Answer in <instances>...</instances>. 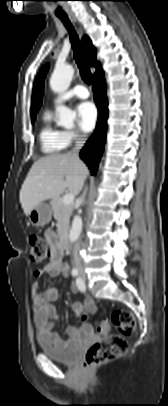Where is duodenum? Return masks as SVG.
<instances>
[{
    "label": "duodenum",
    "instance_id": "duodenum-1",
    "mask_svg": "<svg viewBox=\"0 0 168 406\" xmlns=\"http://www.w3.org/2000/svg\"><path fill=\"white\" fill-rule=\"evenodd\" d=\"M60 247L62 250H67L69 247V239L67 234H62L60 237Z\"/></svg>",
    "mask_w": 168,
    "mask_h": 406
}]
</instances>
